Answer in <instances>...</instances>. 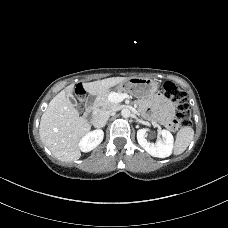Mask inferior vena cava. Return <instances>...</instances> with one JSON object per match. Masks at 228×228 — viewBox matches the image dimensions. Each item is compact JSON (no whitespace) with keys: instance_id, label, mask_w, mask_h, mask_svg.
Returning a JSON list of instances; mask_svg holds the SVG:
<instances>
[{"instance_id":"1","label":"inferior vena cava","mask_w":228,"mask_h":228,"mask_svg":"<svg viewBox=\"0 0 228 228\" xmlns=\"http://www.w3.org/2000/svg\"><path fill=\"white\" fill-rule=\"evenodd\" d=\"M111 112H101L93 117L92 123L96 128H101L106 125Z\"/></svg>"}]
</instances>
